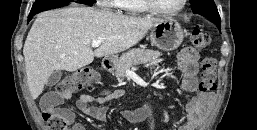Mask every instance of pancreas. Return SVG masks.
<instances>
[{"label": "pancreas", "mask_w": 257, "mask_h": 130, "mask_svg": "<svg viewBox=\"0 0 257 130\" xmlns=\"http://www.w3.org/2000/svg\"><path fill=\"white\" fill-rule=\"evenodd\" d=\"M162 54L159 51L134 48L123 54L115 65V75L122 80L127 70H130L140 64H149L155 62Z\"/></svg>", "instance_id": "pancreas-1"}]
</instances>
